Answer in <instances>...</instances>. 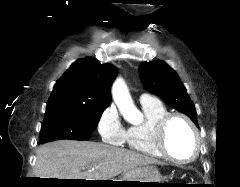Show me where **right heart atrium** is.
<instances>
[{
    "label": "right heart atrium",
    "instance_id": "right-heart-atrium-1",
    "mask_svg": "<svg viewBox=\"0 0 240 187\" xmlns=\"http://www.w3.org/2000/svg\"><path fill=\"white\" fill-rule=\"evenodd\" d=\"M96 128L102 142L114 146H121L125 143L126 130L114 106L104 109L97 120Z\"/></svg>",
    "mask_w": 240,
    "mask_h": 187
}]
</instances>
